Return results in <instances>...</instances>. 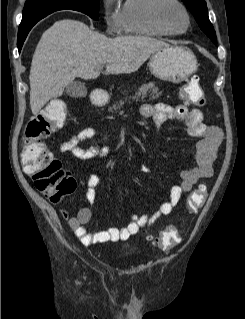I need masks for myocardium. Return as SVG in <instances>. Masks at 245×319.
Returning <instances> with one entry per match:
<instances>
[{
    "mask_svg": "<svg viewBox=\"0 0 245 319\" xmlns=\"http://www.w3.org/2000/svg\"><path fill=\"white\" fill-rule=\"evenodd\" d=\"M169 6L178 8L185 18V26L181 30L174 29L168 22L165 12ZM151 15L154 22L168 34L179 35L185 33L190 27V15L186 7L179 0H155L151 6Z\"/></svg>",
    "mask_w": 245,
    "mask_h": 319,
    "instance_id": "f54148a6",
    "label": "myocardium"
}]
</instances>
